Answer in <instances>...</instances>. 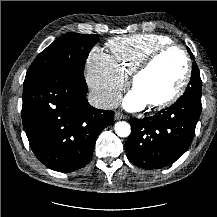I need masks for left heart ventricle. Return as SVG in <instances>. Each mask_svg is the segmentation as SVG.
Here are the masks:
<instances>
[{
  "label": "left heart ventricle",
  "mask_w": 217,
  "mask_h": 217,
  "mask_svg": "<svg viewBox=\"0 0 217 217\" xmlns=\"http://www.w3.org/2000/svg\"><path fill=\"white\" fill-rule=\"evenodd\" d=\"M185 73V61L178 51L161 55L137 80L136 91L147 103L162 100L179 87Z\"/></svg>",
  "instance_id": "left-heart-ventricle-1"
}]
</instances>
